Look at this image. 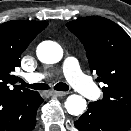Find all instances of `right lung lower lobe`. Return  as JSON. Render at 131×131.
<instances>
[{"instance_id":"right-lung-lower-lobe-1","label":"right lung lower lobe","mask_w":131,"mask_h":131,"mask_svg":"<svg viewBox=\"0 0 131 131\" xmlns=\"http://www.w3.org/2000/svg\"><path fill=\"white\" fill-rule=\"evenodd\" d=\"M43 99L38 92L0 96V131H32Z\"/></svg>"}]
</instances>
